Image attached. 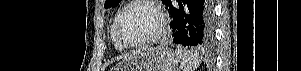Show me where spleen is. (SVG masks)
Returning <instances> with one entry per match:
<instances>
[{
  "label": "spleen",
  "instance_id": "obj_1",
  "mask_svg": "<svg viewBox=\"0 0 301 71\" xmlns=\"http://www.w3.org/2000/svg\"><path fill=\"white\" fill-rule=\"evenodd\" d=\"M175 54L184 66V71H195L200 65V60L197 54L193 52L178 48L175 50Z\"/></svg>",
  "mask_w": 301,
  "mask_h": 71
}]
</instances>
